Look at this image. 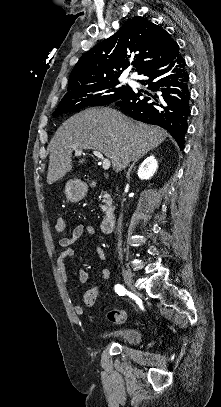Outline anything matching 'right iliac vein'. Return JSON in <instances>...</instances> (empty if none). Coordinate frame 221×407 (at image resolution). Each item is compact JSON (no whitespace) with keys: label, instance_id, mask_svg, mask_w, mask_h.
Here are the masks:
<instances>
[{"label":"right iliac vein","instance_id":"obj_1","mask_svg":"<svg viewBox=\"0 0 221 407\" xmlns=\"http://www.w3.org/2000/svg\"><path fill=\"white\" fill-rule=\"evenodd\" d=\"M122 275H123L124 281H125L126 285L128 286V288H129L132 292H135V288H134V284H133V279H132L131 273H130L127 269L123 268V269H122Z\"/></svg>","mask_w":221,"mask_h":407}]
</instances>
